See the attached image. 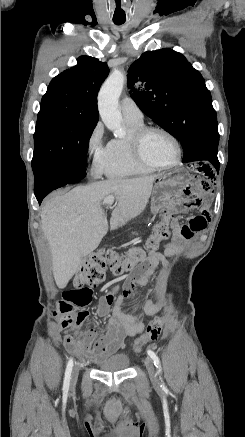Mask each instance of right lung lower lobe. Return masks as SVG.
Listing matches in <instances>:
<instances>
[{
  "instance_id": "right-lung-lower-lobe-1",
  "label": "right lung lower lobe",
  "mask_w": 245,
  "mask_h": 437,
  "mask_svg": "<svg viewBox=\"0 0 245 437\" xmlns=\"http://www.w3.org/2000/svg\"><path fill=\"white\" fill-rule=\"evenodd\" d=\"M34 176V193L38 203L41 204L43 198L51 191L83 179L86 176V170L52 166L42 169Z\"/></svg>"
}]
</instances>
